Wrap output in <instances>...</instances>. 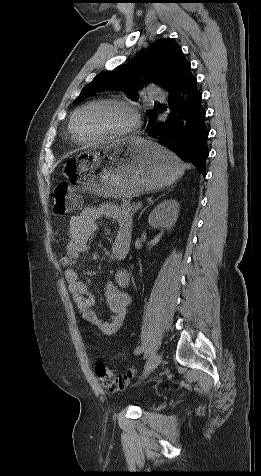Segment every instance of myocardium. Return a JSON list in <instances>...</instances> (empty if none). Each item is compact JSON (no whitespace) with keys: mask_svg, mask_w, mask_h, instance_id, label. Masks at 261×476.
<instances>
[{"mask_svg":"<svg viewBox=\"0 0 261 476\" xmlns=\"http://www.w3.org/2000/svg\"><path fill=\"white\" fill-rule=\"evenodd\" d=\"M98 104H112V105H117L126 109L130 113V116H131L130 122L126 127L116 132L102 135L98 138L91 139V140L81 139L76 134V130H75L76 119L83 110ZM139 122H140V114L137 108L132 103L122 99H118V98H97V99H93L84 103L83 105H81L74 111L70 119L69 131L73 141H75L76 143L81 145H92V144L100 143L110 139L125 137L129 135L130 133H132L137 128V126L139 125Z\"/></svg>","mask_w":261,"mask_h":476,"instance_id":"1","label":"myocardium"}]
</instances>
